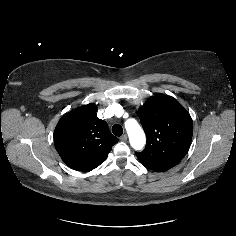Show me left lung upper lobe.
<instances>
[{
    "label": "left lung upper lobe",
    "mask_w": 236,
    "mask_h": 236,
    "mask_svg": "<svg viewBox=\"0 0 236 236\" xmlns=\"http://www.w3.org/2000/svg\"><path fill=\"white\" fill-rule=\"evenodd\" d=\"M147 136L139 161L147 168L162 172L177 165L187 153L193 122L186 109L173 97L158 94L138 109Z\"/></svg>",
    "instance_id": "obj_1"
}]
</instances>
